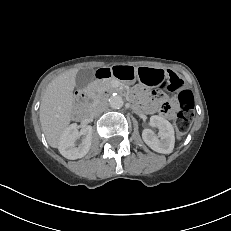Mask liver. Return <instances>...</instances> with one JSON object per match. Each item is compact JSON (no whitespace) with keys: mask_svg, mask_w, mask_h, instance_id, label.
<instances>
[{"mask_svg":"<svg viewBox=\"0 0 231 231\" xmlns=\"http://www.w3.org/2000/svg\"><path fill=\"white\" fill-rule=\"evenodd\" d=\"M78 69H70L52 80L41 98L39 119L48 144L57 148L60 137L74 118L73 90Z\"/></svg>","mask_w":231,"mask_h":231,"instance_id":"6515ba94","label":"liver"}]
</instances>
